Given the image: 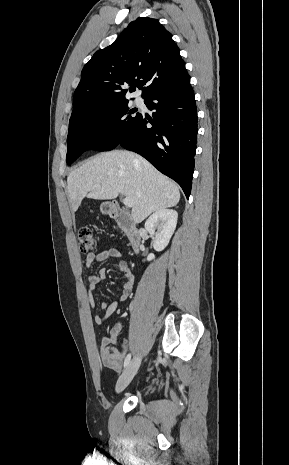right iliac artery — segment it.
<instances>
[{
    "label": "right iliac artery",
    "instance_id": "obj_1",
    "mask_svg": "<svg viewBox=\"0 0 289 465\" xmlns=\"http://www.w3.org/2000/svg\"><path fill=\"white\" fill-rule=\"evenodd\" d=\"M130 360H131V354H128L124 361V368L128 366V364L130 363Z\"/></svg>",
    "mask_w": 289,
    "mask_h": 465
}]
</instances>
